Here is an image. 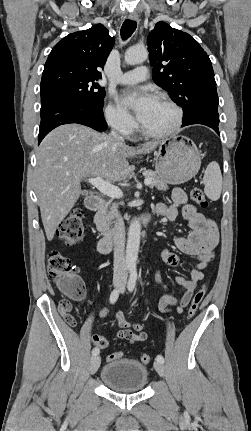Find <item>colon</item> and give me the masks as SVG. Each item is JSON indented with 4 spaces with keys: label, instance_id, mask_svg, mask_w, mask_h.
I'll return each mask as SVG.
<instances>
[{
    "label": "colon",
    "instance_id": "1",
    "mask_svg": "<svg viewBox=\"0 0 251 431\" xmlns=\"http://www.w3.org/2000/svg\"><path fill=\"white\" fill-rule=\"evenodd\" d=\"M192 200L202 208L208 206V201L200 188L191 190ZM83 234V211L75 209L62 221L57 229V237L66 245L77 243ZM48 273L55 281L58 289L67 294L74 300H81L85 295L84 285L77 275V268L71 263L70 259L57 250H52L48 254ZM206 292V287L200 288L194 295L190 307L187 312V319H192L196 314ZM72 304L69 300H62L59 304V310L64 319L70 325H75V320L70 312ZM92 343L98 351H105L108 341L105 337L94 335ZM123 356L122 351L109 353L107 355V363L116 362L118 358ZM151 360L149 354H143L141 361L148 364Z\"/></svg>",
    "mask_w": 251,
    "mask_h": 431
}]
</instances>
